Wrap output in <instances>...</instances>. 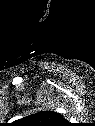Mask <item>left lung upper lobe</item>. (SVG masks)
Returning a JSON list of instances; mask_svg holds the SVG:
<instances>
[{"instance_id":"1","label":"left lung upper lobe","mask_w":95,"mask_h":126,"mask_svg":"<svg viewBox=\"0 0 95 126\" xmlns=\"http://www.w3.org/2000/svg\"><path fill=\"white\" fill-rule=\"evenodd\" d=\"M25 126H63L64 118L54 111H40L21 119Z\"/></svg>"}]
</instances>
